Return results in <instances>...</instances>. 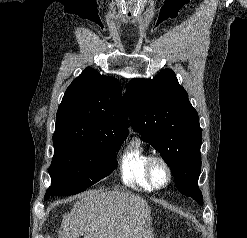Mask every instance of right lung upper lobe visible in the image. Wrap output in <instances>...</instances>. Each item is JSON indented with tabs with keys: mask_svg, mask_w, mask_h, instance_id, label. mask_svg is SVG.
Instances as JSON below:
<instances>
[{
	"mask_svg": "<svg viewBox=\"0 0 247 238\" xmlns=\"http://www.w3.org/2000/svg\"><path fill=\"white\" fill-rule=\"evenodd\" d=\"M127 129L119 81L88 67L64 94L53 138L75 135L124 141Z\"/></svg>",
	"mask_w": 247,
	"mask_h": 238,
	"instance_id": "right-lung-upper-lobe-1",
	"label": "right lung upper lobe"
}]
</instances>
